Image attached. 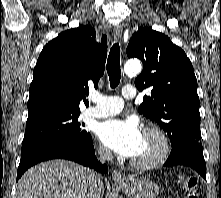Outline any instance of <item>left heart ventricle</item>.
Segmentation results:
<instances>
[{
    "label": "left heart ventricle",
    "mask_w": 221,
    "mask_h": 198,
    "mask_svg": "<svg viewBox=\"0 0 221 198\" xmlns=\"http://www.w3.org/2000/svg\"><path fill=\"white\" fill-rule=\"evenodd\" d=\"M157 149V140L151 135L142 134L140 145L132 158L136 160L149 159L157 152Z\"/></svg>",
    "instance_id": "b2bd125f"
}]
</instances>
